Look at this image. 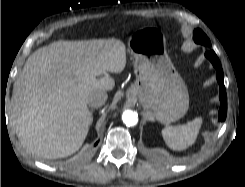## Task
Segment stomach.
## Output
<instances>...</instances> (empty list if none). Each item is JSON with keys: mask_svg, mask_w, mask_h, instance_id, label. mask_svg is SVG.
I'll return each mask as SVG.
<instances>
[{"mask_svg": "<svg viewBox=\"0 0 245 187\" xmlns=\"http://www.w3.org/2000/svg\"><path fill=\"white\" fill-rule=\"evenodd\" d=\"M134 57L135 82L127 91L144 110L163 124L183 117L189 108V94L183 79L166 53V36L158 27L135 32L128 41Z\"/></svg>", "mask_w": 245, "mask_h": 187, "instance_id": "obj_1", "label": "stomach"}]
</instances>
